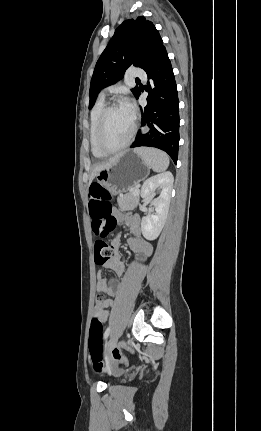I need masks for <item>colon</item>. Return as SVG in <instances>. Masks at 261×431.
<instances>
[{"instance_id":"obj_1","label":"colon","mask_w":261,"mask_h":431,"mask_svg":"<svg viewBox=\"0 0 261 431\" xmlns=\"http://www.w3.org/2000/svg\"><path fill=\"white\" fill-rule=\"evenodd\" d=\"M89 213L92 218V229L94 234L99 238L95 242V262L97 265H102L114 256V249L108 245L103 238L109 236L116 227V220L112 215V205L108 191L99 183H93L89 188ZM103 300L102 293H98L97 302ZM102 333L103 322L94 316L91 321L89 351L94 363V366L100 367L101 351H102ZM117 348L112 351V354L107 356V361L110 363L106 370L109 373L120 371V366H127L130 360L123 357L122 347L125 352H131L130 343H118ZM113 377H118V372H113Z\"/></svg>"}]
</instances>
